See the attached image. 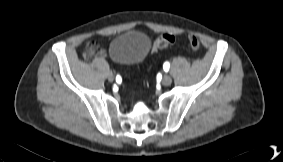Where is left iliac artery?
Returning <instances> with one entry per match:
<instances>
[{
    "mask_svg": "<svg viewBox=\"0 0 283 162\" xmlns=\"http://www.w3.org/2000/svg\"><path fill=\"white\" fill-rule=\"evenodd\" d=\"M170 64L169 62H165L163 65L164 70L167 72L169 70Z\"/></svg>",
    "mask_w": 283,
    "mask_h": 162,
    "instance_id": "obj_1",
    "label": "left iliac artery"
}]
</instances>
